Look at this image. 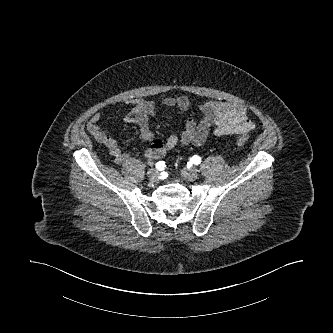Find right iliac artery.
Listing matches in <instances>:
<instances>
[{
    "label": "right iliac artery",
    "instance_id": "obj_1",
    "mask_svg": "<svg viewBox=\"0 0 333 333\" xmlns=\"http://www.w3.org/2000/svg\"><path fill=\"white\" fill-rule=\"evenodd\" d=\"M156 169H158V170H162L163 169V167H164V163L163 162H158L157 164H156Z\"/></svg>",
    "mask_w": 333,
    "mask_h": 333
}]
</instances>
